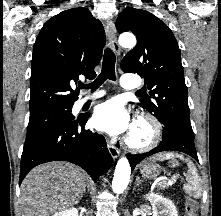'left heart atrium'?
Masks as SVG:
<instances>
[{
  "instance_id": "39dd6f15",
  "label": "left heart atrium",
  "mask_w": 221,
  "mask_h": 216,
  "mask_svg": "<svg viewBox=\"0 0 221 216\" xmlns=\"http://www.w3.org/2000/svg\"><path fill=\"white\" fill-rule=\"evenodd\" d=\"M92 125L110 135L123 134L133 127L130 114L117 99L105 101L95 107Z\"/></svg>"
}]
</instances>
